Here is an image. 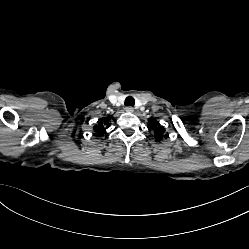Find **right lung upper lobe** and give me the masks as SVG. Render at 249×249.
<instances>
[{
    "label": "right lung upper lobe",
    "instance_id": "right-lung-upper-lobe-1",
    "mask_svg": "<svg viewBox=\"0 0 249 249\" xmlns=\"http://www.w3.org/2000/svg\"><path fill=\"white\" fill-rule=\"evenodd\" d=\"M108 118H111V116H109ZM109 126L110 125L108 124V121H106L105 118H102L98 122V125L94 126V131L99 135H103L104 133H106V128H108Z\"/></svg>",
    "mask_w": 249,
    "mask_h": 249
}]
</instances>
